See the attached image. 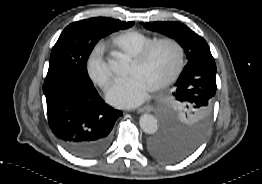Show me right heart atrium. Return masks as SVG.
I'll list each match as a JSON object with an SVG mask.
<instances>
[{
  "label": "right heart atrium",
  "instance_id": "right-heart-atrium-1",
  "mask_svg": "<svg viewBox=\"0 0 262 184\" xmlns=\"http://www.w3.org/2000/svg\"><path fill=\"white\" fill-rule=\"evenodd\" d=\"M86 71L91 82L102 90H107L111 86L114 73L109 60L104 57L102 45H96L90 52L87 58Z\"/></svg>",
  "mask_w": 262,
  "mask_h": 184
}]
</instances>
